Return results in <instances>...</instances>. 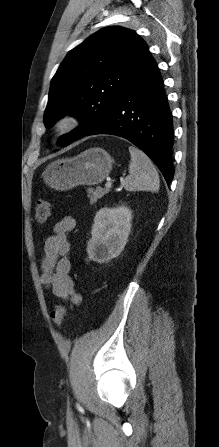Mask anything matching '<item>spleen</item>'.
<instances>
[{
  "mask_svg": "<svg viewBox=\"0 0 219 447\" xmlns=\"http://www.w3.org/2000/svg\"><path fill=\"white\" fill-rule=\"evenodd\" d=\"M131 161L129 164V176L124 180V188L127 191H152L159 190V175L145 153L130 146Z\"/></svg>",
  "mask_w": 219,
  "mask_h": 447,
  "instance_id": "obj_1",
  "label": "spleen"
}]
</instances>
